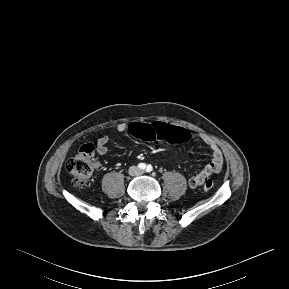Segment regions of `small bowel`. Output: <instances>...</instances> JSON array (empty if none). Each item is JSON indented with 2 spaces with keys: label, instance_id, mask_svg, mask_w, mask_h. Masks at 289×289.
Masks as SVG:
<instances>
[{
  "label": "small bowel",
  "instance_id": "1",
  "mask_svg": "<svg viewBox=\"0 0 289 289\" xmlns=\"http://www.w3.org/2000/svg\"><path fill=\"white\" fill-rule=\"evenodd\" d=\"M129 127L130 125L127 123H120L117 125V130L119 132H125ZM202 140L209 147L212 153V159L203 170L189 178L188 183L191 188L201 186L210 175L220 172L223 167V155L219 146L208 137H202ZM108 141L109 138L107 136H103L96 140V150L99 154L104 155L107 153Z\"/></svg>",
  "mask_w": 289,
  "mask_h": 289
}]
</instances>
